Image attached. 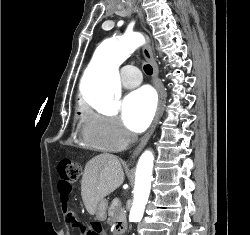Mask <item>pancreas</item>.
Here are the masks:
<instances>
[{"label":"pancreas","mask_w":250,"mask_h":235,"mask_svg":"<svg viewBox=\"0 0 250 235\" xmlns=\"http://www.w3.org/2000/svg\"><path fill=\"white\" fill-rule=\"evenodd\" d=\"M109 222H121L126 219L125 210L121 206L119 199H114L108 210Z\"/></svg>","instance_id":"obj_1"}]
</instances>
